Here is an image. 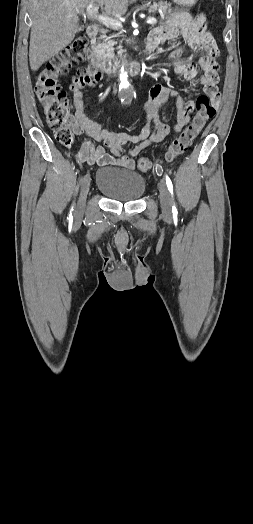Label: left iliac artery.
<instances>
[{
	"label": "left iliac artery",
	"instance_id": "1",
	"mask_svg": "<svg viewBox=\"0 0 253 524\" xmlns=\"http://www.w3.org/2000/svg\"><path fill=\"white\" fill-rule=\"evenodd\" d=\"M166 184H167L169 192L171 193V195H173V185H172V182H171V180H170V178L168 176H166ZM172 212H173L174 215H176L178 213L175 204L172 206Z\"/></svg>",
	"mask_w": 253,
	"mask_h": 524
}]
</instances>
